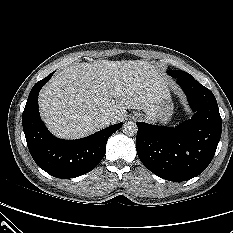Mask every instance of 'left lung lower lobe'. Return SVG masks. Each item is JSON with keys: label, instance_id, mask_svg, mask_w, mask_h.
<instances>
[{"label": "left lung lower lobe", "instance_id": "0a47b994", "mask_svg": "<svg viewBox=\"0 0 233 233\" xmlns=\"http://www.w3.org/2000/svg\"><path fill=\"white\" fill-rule=\"evenodd\" d=\"M195 114L176 127L137 122L136 149L141 162L169 181L201 174L213 159L222 120L213 93L193 77L177 79Z\"/></svg>", "mask_w": 233, "mask_h": 233}]
</instances>
